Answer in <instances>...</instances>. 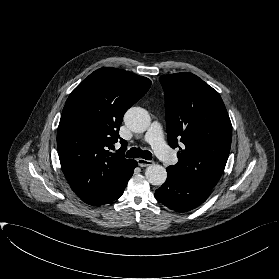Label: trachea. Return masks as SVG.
I'll use <instances>...</instances> for the list:
<instances>
[{
    "mask_svg": "<svg viewBox=\"0 0 279 279\" xmlns=\"http://www.w3.org/2000/svg\"><path fill=\"white\" fill-rule=\"evenodd\" d=\"M126 157L127 158H139V157H141V158L146 159V160H151L152 159V154L148 150H142L140 148L133 147L129 151H127Z\"/></svg>",
    "mask_w": 279,
    "mask_h": 279,
    "instance_id": "obj_1",
    "label": "trachea"
}]
</instances>
